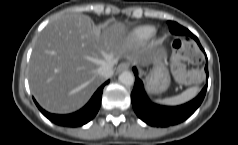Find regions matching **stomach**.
I'll list each match as a JSON object with an SVG mask.
<instances>
[{"label":"stomach","instance_id":"1","mask_svg":"<svg viewBox=\"0 0 238 145\" xmlns=\"http://www.w3.org/2000/svg\"><path fill=\"white\" fill-rule=\"evenodd\" d=\"M165 61L166 54L161 49L160 58L153 62V68L146 77V88L148 92L159 94L168 89L171 79Z\"/></svg>","mask_w":238,"mask_h":145}]
</instances>
